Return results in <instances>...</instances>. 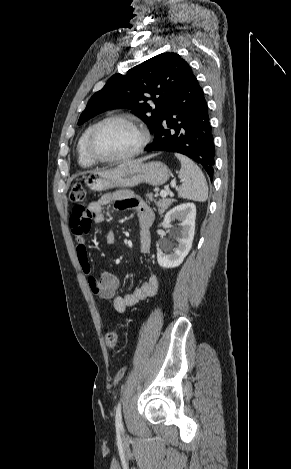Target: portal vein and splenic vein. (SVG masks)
Returning a JSON list of instances; mask_svg holds the SVG:
<instances>
[{
    "label": "portal vein and splenic vein",
    "instance_id": "portal-vein-and-splenic-vein-1",
    "mask_svg": "<svg viewBox=\"0 0 291 469\" xmlns=\"http://www.w3.org/2000/svg\"><path fill=\"white\" fill-rule=\"evenodd\" d=\"M171 185H172L173 187L176 186L175 180L172 181ZM169 194H170V193H169L168 190H162V191L160 192V196H161V197H166V196H168Z\"/></svg>",
    "mask_w": 291,
    "mask_h": 469
}]
</instances>
